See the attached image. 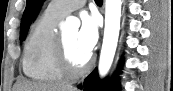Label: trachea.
Instances as JSON below:
<instances>
[{
    "label": "trachea",
    "instance_id": "trachea-1",
    "mask_svg": "<svg viewBox=\"0 0 173 91\" xmlns=\"http://www.w3.org/2000/svg\"><path fill=\"white\" fill-rule=\"evenodd\" d=\"M96 4H102L103 0H95Z\"/></svg>",
    "mask_w": 173,
    "mask_h": 91
}]
</instances>
